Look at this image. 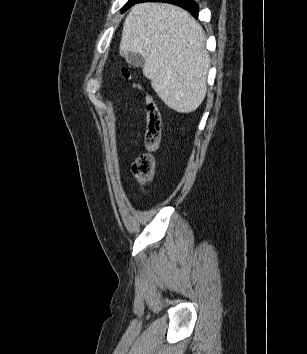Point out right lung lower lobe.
Listing matches in <instances>:
<instances>
[{
    "instance_id": "right-lung-lower-lobe-1",
    "label": "right lung lower lobe",
    "mask_w": 307,
    "mask_h": 354,
    "mask_svg": "<svg viewBox=\"0 0 307 354\" xmlns=\"http://www.w3.org/2000/svg\"><path fill=\"white\" fill-rule=\"evenodd\" d=\"M147 1L172 3L188 10L193 16L198 17L199 7L193 0H137L136 3Z\"/></svg>"
}]
</instances>
